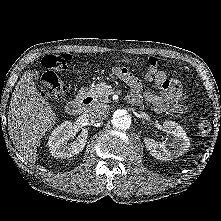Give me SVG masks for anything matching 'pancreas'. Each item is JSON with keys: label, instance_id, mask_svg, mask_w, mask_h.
Returning a JSON list of instances; mask_svg holds the SVG:
<instances>
[{"label": "pancreas", "instance_id": "pancreas-1", "mask_svg": "<svg viewBox=\"0 0 221 221\" xmlns=\"http://www.w3.org/2000/svg\"><path fill=\"white\" fill-rule=\"evenodd\" d=\"M96 102H109L108 95L113 93V90L106 83H99L95 87L87 89L86 92Z\"/></svg>", "mask_w": 221, "mask_h": 221}]
</instances>
